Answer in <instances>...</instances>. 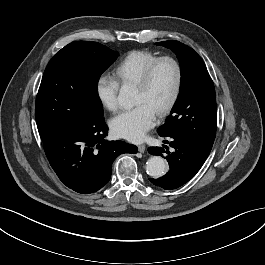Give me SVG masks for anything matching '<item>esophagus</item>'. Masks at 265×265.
<instances>
[{
  "label": "esophagus",
  "mask_w": 265,
  "mask_h": 265,
  "mask_svg": "<svg viewBox=\"0 0 265 265\" xmlns=\"http://www.w3.org/2000/svg\"><path fill=\"white\" fill-rule=\"evenodd\" d=\"M145 150H146V146H145V145H138V151H139L140 153H144Z\"/></svg>",
  "instance_id": "1"
}]
</instances>
